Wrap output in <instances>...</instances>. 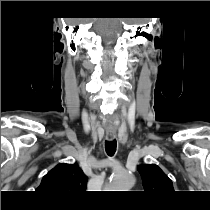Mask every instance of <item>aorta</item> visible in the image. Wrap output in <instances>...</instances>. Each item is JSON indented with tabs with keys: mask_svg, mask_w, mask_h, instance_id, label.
I'll return each instance as SVG.
<instances>
[{
	"mask_svg": "<svg viewBox=\"0 0 210 210\" xmlns=\"http://www.w3.org/2000/svg\"><path fill=\"white\" fill-rule=\"evenodd\" d=\"M135 184V177L132 173L125 170L115 171L111 178L107 189H115L117 191H128Z\"/></svg>",
	"mask_w": 210,
	"mask_h": 210,
	"instance_id": "obj_1",
	"label": "aorta"
}]
</instances>
